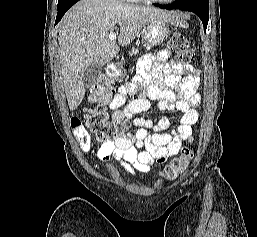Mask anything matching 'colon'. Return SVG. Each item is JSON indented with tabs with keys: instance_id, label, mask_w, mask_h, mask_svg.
Listing matches in <instances>:
<instances>
[{
	"instance_id": "obj_1",
	"label": "colon",
	"mask_w": 257,
	"mask_h": 237,
	"mask_svg": "<svg viewBox=\"0 0 257 237\" xmlns=\"http://www.w3.org/2000/svg\"><path fill=\"white\" fill-rule=\"evenodd\" d=\"M168 46L173 50L178 59L184 63H190L194 59V54L190 48L189 41L182 33L174 31L169 37ZM196 74V72H192ZM114 83L107 76H101L92 86L89 95L90 106L86 113V126L80 119L74 117L70 124L73 133L80 143L81 148L90 144L89 129L99 141L113 142L123 137L130 124L124 121H112L109 118L106 104L114 96ZM193 157V149L186 147L183 153L173 159L162 171L161 175L174 180L185 171Z\"/></svg>"
}]
</instances>
